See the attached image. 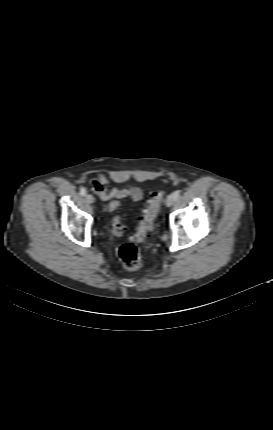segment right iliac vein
Listing matches in <instances>:
<instances>
[{
  "instance_id": "right-iliac-vein-1",
  "label": "right iliac vein",
  "mask_w": 273,
  "mask_h": 430,
  "mask_svg": "<svg viewBox=\"0 0 273 430\" xmlns=\"http://www.w3.org/2000/svg\"><path fill=\"white\" fill-rule=\"evenodd\" d=\"M86 201H87L89 204H92V203H94V202H95V199H94V197H93L92 195L87 194V195H86Z\"/></svg>"
}]
</instances>
